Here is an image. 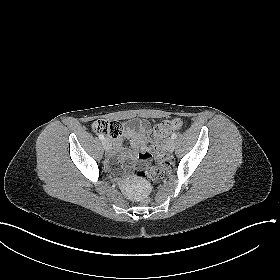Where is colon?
I'll return each instance as SVG.
<instances>
[{"label": "colon", "mask_w": 280, "mask_h": 280, "mask_svg": "<svg viewBox=\"0 0 280 280\" xmlns=\"http://www.w3.org/2000/svg\"><path fill=\"white\" fill-rule=\"evenodd\" d=\"M181 127L180 119L165 120L159 125L155 126L148 134V138L153 145V152L155 153V165L147 168L146 171H139L137 177L143 179L145 175L150 178L159 180L163 178L165 170L168 167V158L165 152V137ZM93 131L99 134L108 135L110 137H118L122 133V126L117 121L99 119L92 125ZM151 198L144 194L140 198V203L143 206L149 205Z\"/></svg>", "instance_id": "colon-1"}]
</instances>
